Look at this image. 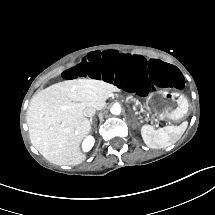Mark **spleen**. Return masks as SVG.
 Listing matches in <instances>:
<instances>
[{
  "mask_svg": "<svg viewBox=\"0 0 215 215\" xmlns=\"http://www.w3.org/2000/svg\"><path fill=\"white\" fill-rule=\"evenodd\" d=\"M142 137L150 148H163L178 141L181 134H179V126L168 125L156 129L146 124L142 127Z\"/></svg>",
  "mask_w": 215,
  "mask_h": 215,
  "instance_id": "obj_1",
  "label": "spleen"
}]
</instances>
